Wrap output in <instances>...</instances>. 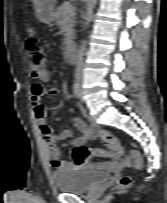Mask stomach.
Listing matches in <instances>:
<instances>
[{
    "label": "stomach",
    "mask_w": 167,
    "mask_h": 203,
    "mask_svg": "<svg viewBox=\"0 0 167 203\" xmlns=\"http://www.w3.org/2000/svg\"><path fill=\"white\" fill-rule=\"evenodd\" d=\"M34 9L38 19L45 24H50L55 19V0H33Z\"/></svg>",
    "instance_id": "1"
}]
</instances>
